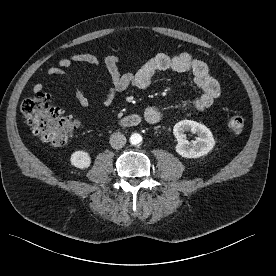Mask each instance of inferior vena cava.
I'll return each instance as SVG.
<instances>
[{"mask_svg": "<svg viewBox=\"0 0 276 276\" xmlns=\"http://www.w3.org/2000/svg\"><path fill=\"white\" fill-rule=\"evenodd\" d=\"M110 145L114 149H121L126 144V137L120 132H115L110 136Z\"/></svg>", "mask_w": 276, "mask_h": 276, "instance_id": "obj_1", "label": "inferior vena cava"}]
</instances>
